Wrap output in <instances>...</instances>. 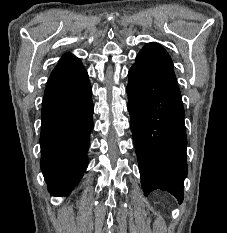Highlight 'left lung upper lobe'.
I'll return each instance as SVG.
<instances>
[{
	"label": "left lung upper lobe",
	"mask_w": 227,
	"mask_h": 233,
	"mask_svg": "<svg viewBox=\"0 0 227 233\" xmlns=\"http://www.w3.org/2000/svg\"><path fill=\"white\" fill-rule=\"evenodd\" d=\"M132 67L159 79L177 84L173 63L166 50L158 43L146 44L136 57Z\"/></svg>",
	"instance_id": "left-lung-upper-lobe-1"
}]
</instances>
